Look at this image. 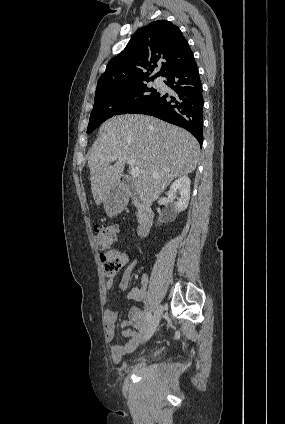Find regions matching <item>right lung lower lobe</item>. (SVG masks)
<instances>
[{"instance_id":"1","label":"right lung lower lobe","mask_w":285,"mask_h":424,"mask_svg":"<svg viewBox=\"0 0 285 424\" xmlns=\"http://www.w3.org/2000/svg\"><path fill=\"white\" fill-rule=\"evenodd\" d=\"M165 77L167 80L164 83L173 90V94L169 96L157 92L151 99L129 113L151 115L182 127L202 145L204 102L202 84L194 58Z\"/></svg>"}]
</instances>
